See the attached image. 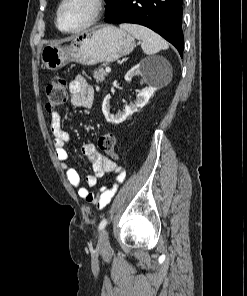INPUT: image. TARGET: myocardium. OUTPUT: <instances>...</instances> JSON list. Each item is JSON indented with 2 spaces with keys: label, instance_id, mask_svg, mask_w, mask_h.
I'll list each match as a JSON object with an SVG mask.
<instances>
[{
  "label": "myocardium",
  "instance_id": "myocardium-1",
  "mask_svg": "<svg viewBox=\"0 0 247 296\" xmlns=\"http://www.w3.org/2000/svg\"><path fill=\"white\" fill-rule=\"evenodd\" d=\"M70 0H61V2L58 5L57 11H56V18H55V24L58 30L62 33L65 34H76L79 32H82L91 26H93L101 17L103 10H104V1L103 0H88L89 3L92 6V11L90 14V17L88 20L82 24L81 26L75 28V29H70L66 30L63 29L60 25V15L63 7L69 2Z\"/></svg>",
  "mask_w": 247,
  "mask_h": 296
}]
</instances>
